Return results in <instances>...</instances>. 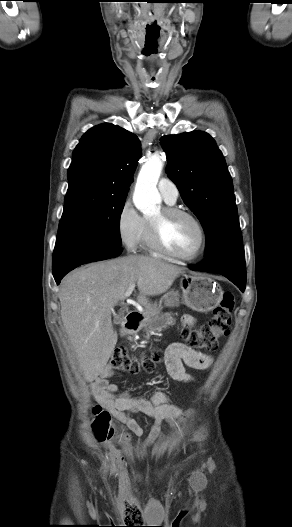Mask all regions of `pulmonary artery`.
<instances>
[{"label":"pulmonary artery","instance_id":"pulmonary-artery-1","mask_svg":"<svg viewBox=\"0 0 292 527\" xmlns=\"http://www.w3.org/2000/svg\"><path fill=\"white\" fill-rule=\"evenodd\" d=\"M158 190L160 191L163 199L169 203H175L179 196L177 186L168 178H161L159 180Z\"/></svg>","mask_w":292,"mask_h":527}]
</instances>
